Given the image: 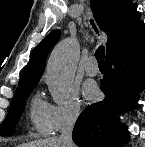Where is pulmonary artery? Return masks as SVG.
I'll return each instance as SVG.
<instances>
[{"mask_svg":"<svg viewBox=\"0 0 145 147\" xmlns=\"http://www.w3.org/2000/svg\"><path fill=\"white\" fill-rule=\"evenodd\" d=\"M85 72L90 76H95L98 74V66L96 65V61L94 58H90L85 66H84Z\"/></svg>","mask_w":145,"mask_h":147,"instance_id":"1","label":"pulmonary artery"}]
</instances>
